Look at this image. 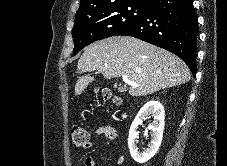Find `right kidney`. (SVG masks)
<instances>
[{"label": "right kidney", "mask_w": 227, "mask_h": 166, "mask_svg": "<svg viewBox=\"0 0 227 166\" xmlns=\"http://www.w3.org/2000/svg\"><path fill=\"white\" fill-rule=\"evenodd\" d=\"M150 115L154 118L152 124L148 126V129L152 131L151 141L148 144V148L143 151H138L137 138H138V126L142 124L143 120L147 119ZM164 118L165 112L163 105L158 101L147 102L138 112L134 119L128 137V147L132 158L138 163H145L152 158L158 151L164 130Z\"/></svg>", "instance_id": "right-kidney-1"}]
</instances>
